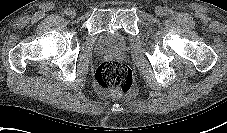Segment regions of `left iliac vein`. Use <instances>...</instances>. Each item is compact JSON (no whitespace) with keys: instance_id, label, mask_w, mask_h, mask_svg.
Segmentation results:
<instances>
[{"instance_id":"obj_1","label":"left iliac vein","mask_w":227,"mask_h":133,"mask_svg":"<svg viewBox=\"0 0 227 133\" xmlns=\"http://www.w3.org/2000/svg\"><path fill=\"white\" fill-rule=\"evenodd\" d=\"M155 13H156L158 16H162V15L165 14V9L162 8V7H160V6H158V7H156V9H155Z\"/></svg>"}]
</instances>
